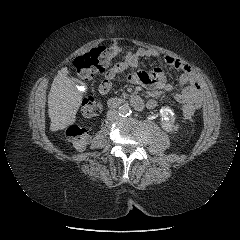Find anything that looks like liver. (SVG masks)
Instances as JSON below:
<instances>
[{
	"label": "liver",
	"mask_w": 240,
	"mask_h": 240,
	"mask_svg": "<svg viewBox=\"0 0 240 240\" xmlns=\"http://www.w3.org/2000/svg\"><path fill=\"white\" fill-rule=\"evenodd\" d=\"M67 74V67L58 71L48 95V115L51 120L50 130L52 132L65 129L75 123L76 114L83 98L77 89V84Z\"/></svg>",
	"instance_id": "liver-1"
}]
</instances>
